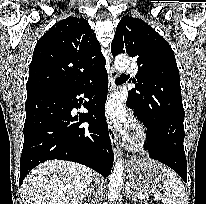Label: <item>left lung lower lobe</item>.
<instances>
[{"label":"left lung lower lobe","instance_id":"1","mask_svg":"<svg viewBox=\"0 0 206 204\" xmlns=\"http://www.w3.org/2000/svg\"><path fill=\"white\" fill-rule=\"evenodd\" d=\"M127 106L136 113L135 97L128 95ZM185 112L183 105L174 103L157 118V126L147 125L148 141L144 147L149 156L167 165L177 172L187 182V163L184 152V125ZM142 121V120H141Z\"/></svg>","mask_w":206,"mask_h":204}]
</instances>
